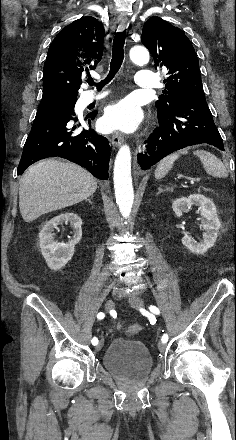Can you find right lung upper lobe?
I'll return each mask as SVG.
<instances>
[{"label": "right lung upper lobe", "instance_id": "cb5924a9", "mask_svg": "<svg viewBox=\"0 0 236 440\" xmlns=\"http://www.w3.org/2000/svg\"><path fill=\"white\" fill-rule=\"evenodd\" d=\"M103 40L104 27L91 16L74 21L58 33L44 64L39 106L76 101L82 77L102 58Z\"/></svg>", "mask_w": 236, "mask_h": 440}]
</instances>
